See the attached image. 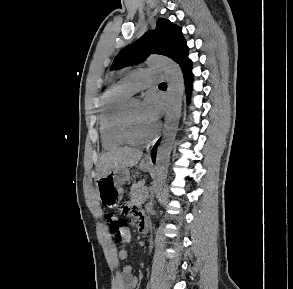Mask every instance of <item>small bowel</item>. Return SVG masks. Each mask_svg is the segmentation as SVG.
I'll use <instances>...</instances> for the list:
<instances>
[{
  "label": "small bowel",
  "mask_w": 293,
  "mask_h": 289,
  "mask_svg": "<svg viewBox=\"0 0 293 289\" xmlns=\"http://www.w3.org/2000/svg\"><path fill=\"white\" fill-rule=\"evenodd\" d=\"M139 221L144 218L143 214L139 212L137 214ZM131 239V232L128 228L125 229L124 237L122 238V245L118 252V257L120 260H126L129 256L126 249V244ZM138 280L133 274L132 267L130 265H125L122 267L121 272L117 278V289H135Z\"/></svg>",
  "instance_id": "small-bowel-1"
}]
</instances>
